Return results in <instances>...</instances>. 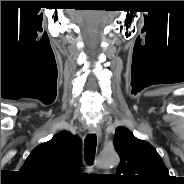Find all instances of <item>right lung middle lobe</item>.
I'll list each match as a JSON object with an SVG mask.
<instances>
[{
  "label": "right lung middle lobe",
  "instance_id": "1",
  "mask_svg": "<svg viewBox=\"0 0 184 184\" xmlns=\"http://www.w3.org/2000/svg\"><path fill=\"white\" fill-rule=\"evenodd\" d=\"M34 183H37V184H45V183H40V182H34Z\"/></svg>",
  "mask_w": 184,
  "mask_h": 184
}]
</instances>
